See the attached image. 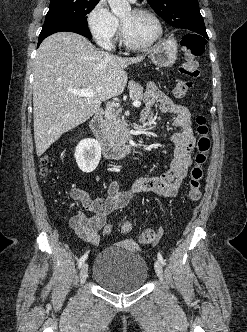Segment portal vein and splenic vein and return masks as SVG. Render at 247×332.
Listing matches in <instances>:
<instances>
[{
    "label": "portal vein and splenic vein",
    "instance_id": "1",
    "mask_svg": "<svg viewBox=\"0 0 247 332\" xmlns=\"http://www.w3.org/2000/svg\"><path fill=\"white\" fill-rule=\"evenodd\" d=\"M72 93L79 95V96H83V97H94L95 93L93 90L91 89H79V90H72ZM112 106L118 107L119 104L118 103H112ZM133 106L134 107H140L141 106V102L139 100H135L133 102Z\"/></svg>",
    "mask_w": 247,
    "mask_h": 332
}]
</instances>
